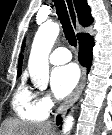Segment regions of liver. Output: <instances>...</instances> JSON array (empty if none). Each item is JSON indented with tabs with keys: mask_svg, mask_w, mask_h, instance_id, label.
Instances as JSON below:
<instances>
[{
	"mask_svg": "<svg viewBox=\"0 0 112 135\" xmlns=\"http://www.w3.org/2000/svg\"><path fill=\"white\" fill-rule=\"evenodd\" d=\"M2 135H54L49 122L27 123L16 119H7L3 123Z\"/></svg>",
	"mask_w": 112,
	"mask_h": 135,
	"instance_id": "1",
	"label": "liver"
}]
</instances>
